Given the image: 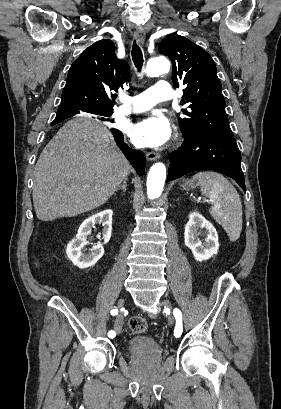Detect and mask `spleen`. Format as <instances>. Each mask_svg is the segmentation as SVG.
<instances>
[{"instance_id":"1","label":"spleen","mask_w":281,"mask_h":409,"mask_svg":"<svg viewBox=\"0 0 281 409\" xmlns=\"http://www.w3.org/2000/svg\"><path fill=\"white\" fill-rule=\"evenodd\" d=\"M192 180H198L202 194L211 198L214 207L210 213L215 221L226 231L234 243L241 235L243 211L240 196L233 184L219 172H197Z\"/></svg>"}]
</instances>
